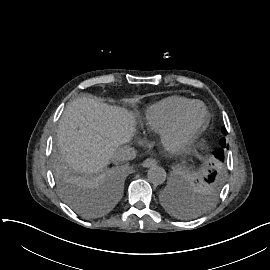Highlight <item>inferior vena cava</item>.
I'll return each mask as SVG.
<instances>
[{"label":"inferior vena cava","mask_w":270,"mask_h":270,"mask_svg":"<svg viewBox=\"0 0 270 270\" xmlns=\"http://www.w3.org/2000/svg\"><path fill=\"white\" fill-rule=\"evenodd\" d=\"M136 157V150L128 145L120 146L112 155L114 162L133 160Z\"/></svg>","instance_id":"602c4592"}]
</instances>
